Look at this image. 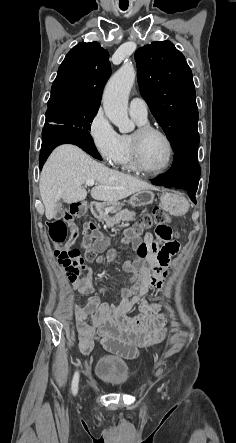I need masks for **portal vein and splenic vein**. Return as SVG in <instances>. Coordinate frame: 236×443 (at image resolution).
Segmentation results:
<instances>
[{"label":"portal vein and splenic vein","instance_id":"portal-vein-and-splenic-vein-1","mask_svg":"<svg viewBox=\"0 0 236 443\" xmlns=\"http://www.w3.org/2000/svg\"><path fill=\"white\" fill-rule=\"evenodd\" d=\"M94 184H95V181H94V180H87V181H86V185H87V186H93ZM99 187L106 188V187H103V186H99Z\"/></svg>","mask_w":236,"mask_h":443}]
</instances>
